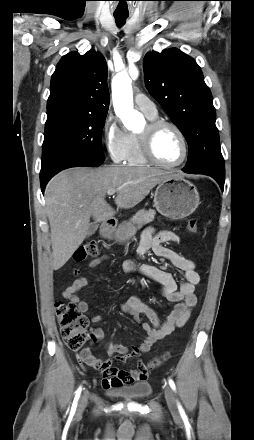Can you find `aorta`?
<instances>
[{
  "instance_id": "762f6f07",
  "label": "aorta",
  "mask_w": 254,
  "mask_h": 440,
  "mask_svg": "<svg viewBox=\"0 0 254 440\" xmlns=\"http://www.w3.org/2000/svg\"><path fill=\"white\" fill-rule=\"evenodd\" d=\"M138 71L135 70V77ZM132 80L127 71H121L112 79V99L116 115L125 128L136 130L143 124V116L133 108Z\"/></svg>"
}]
</instances>
